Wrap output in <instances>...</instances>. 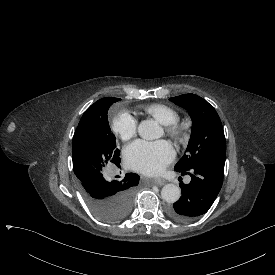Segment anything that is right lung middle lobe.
<instances>
[{"mask_svg":"<svg viewBox=\"0 0 275 275\" xmlns=\"http://www.w3.org/2000/svg\"><path fill=\"white\" fill-rule=\"evenodd\" d=\"M119 98L98 100L83 114L72 142L73 170L88 207L100 218H125L140 177L130 173L116 148L107 112Z\"/></svg>","mask_w":275,"mask_h":275,"instance_id":"obj_1","label":"right lung middle lobe"}]
</instances>
